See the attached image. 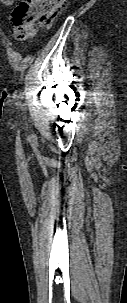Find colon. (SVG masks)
I'll use <instances>...</instances> for the list:
<instances>
[{
    "label": "colon",
    "instance_id": "1",
    "mask_svg": "<svg viewBox=\"0 0 127 303\" xmlns=\"http://www.w3.org/2000/svg\"><path fill=\"white\" fill-rule=\"evenodd\" d=\"M6 5L13 0H2ZM67 4V0H23L11 15L10 22L15 28V36L25 41L36 33L39 28H49L52 20Z\"/></svg>",
    "mask_w": 127,
    "mask_h": 303
}]
</instances>
